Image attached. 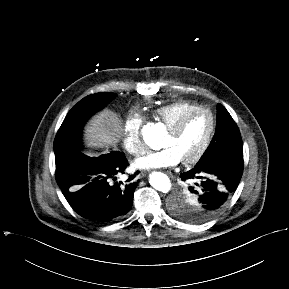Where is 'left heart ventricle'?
Instances as JSON below:
<instances>
[{"mask_svg":"<svg viewBox=\"0 0 289 289\" xmlns=\"http://www.w3.org/2000/svg\"><path fill=\"white\" fill-rule=\"evenodd\" d=\"M211 128V119L207 113L193 115L177 135L167 132L163 147L172 148L181 160L194 155L204 143Z\"/></svg>","mask_w":289,"mask_h":289,"instance_id":"1","label":"left heart ventricle"}]
</instances>
